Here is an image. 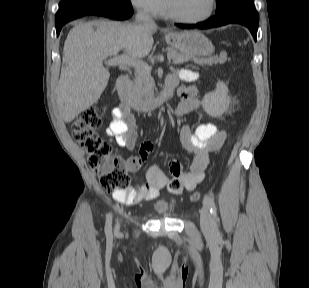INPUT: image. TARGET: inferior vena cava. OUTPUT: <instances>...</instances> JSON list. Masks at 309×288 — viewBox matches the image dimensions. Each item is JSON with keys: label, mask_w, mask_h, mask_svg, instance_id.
Masks as SVG:
<instances>
[{"label": "inferior vena cava", "mask_w": 309, "mask_h": 288, "mask_svg": "<svg viewBox=\"0 0 309 288\" xmlns=\"http://www.w3.org/2000/svg\"><path fill=\"white\" fill-rule=\"evenodd\" d=\"M135 22L136 24L140 25V26H146V27H155L156 24L154 22V20L147 15L146 13L142 12V11H138L136 16H135Z\"/></svg>", "instance_id": "inferior-vena-cava-1"}]
</instances>
